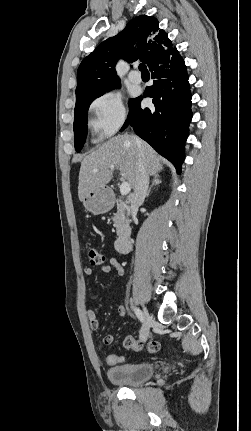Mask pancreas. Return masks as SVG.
I'll return each instance as SVG.
<instances>
[{
  "mask_svg": "<svg viewBox=\"0 0 251 431\" xmlns=\"http://www.w3.org/2000/svg\"><path fill=\"white\" fill-rule=\"evenodd\" d=\"M117 212L113 216L114 226L116 227L117 236L124 237L128 226V208L121 202L120 199L116 200Z\"/></svg>",
  "mask_w": 251,
  "mask_h": 431,
  "instance_id": "1",
  "label": "pancreas"
}]
</instances>
